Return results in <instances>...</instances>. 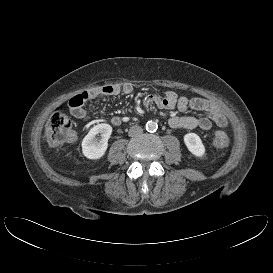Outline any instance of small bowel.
<instances>
[{"label": "small bowel", "instance_id": "small-bowel-1", "mask_svg": "<svg viewBox=\"0 0 273 273\" xmlns=\"http://www.w3.org/2000/svg\"><path fill=\"white\" fill-rule=\"evenodd\" d=\"M135 86L132 83H125L123 85H108L103 88L89 92L87 98L81 106H73L69 102V109L73 117L79 120L87 118V104L100 97L117 96L119 94H130L133 92ZM144 105L148 107L157 106L160 109H174L177 108L179 112H186L187 110H194L203 112L204 116H172L169 118V125L172 128L194 129L201 128L202 130H209L215 124L219 127H226L228 122L222 109L214 102L201 98H187L185 96H178L173 91H168L164 96L150 94L146 97ZM119 117L113 119L114 124L120 122Z\"/></svg>", "mask_w": 273, "mask_h": 273}]
</instances>
